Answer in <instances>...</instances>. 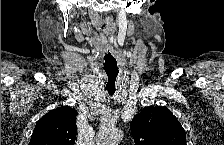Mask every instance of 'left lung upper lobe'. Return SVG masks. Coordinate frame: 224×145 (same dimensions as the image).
I'll list each match as a JSON object with an SVG mask.
<instances>
[{
    "instance_id": "obj_1",
    "label": "left lung upper lobe",
    "mask_w": 224,
    "mask_h": 145,
    "mask_svg": "<svg viewBox=\"0 0 224 145\" xmlns=\"http://www.w3.org/2000/svg\"><path fill=\"white\" fill-rule=\"evenodd\" d=\"M136 145H186V135L166 107H145L130 123Z\"/></svg>"
}]
</instances>
